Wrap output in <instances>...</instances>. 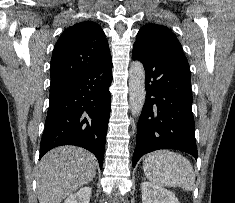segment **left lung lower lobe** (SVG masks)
<instances>
[{"instance_id": "obj_1", "label": "left lung lower lobe", "mask_w": 235, "mask_h": 203, "mask_svg": "<svg viewBox=\"0 0 235 203\" xmlns=\"http://www.w3.org/2000/svg\"><path fill=\"white\" fill-rule=\"evenodd\" d=\"M132 57L144 65L147 90L133 167L144 154L158 149L181 150L197 159L189 66L137 45Z\"/></svg>"}]
</instances>
